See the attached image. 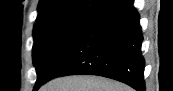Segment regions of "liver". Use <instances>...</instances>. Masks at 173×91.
<instances>
[{"mask_svg":"<svg viewBox=\"0 0 173 91\" xmlns=\"http://www.w3.org/2000/svg\"><path fill=\"white\" fill-rule=\"evenodd\" d=\"M40 91H133L129 86L101 76H65L46 83Z\"/></svg>","mask_w":173,"mask_h":91,"instance_id":"liver-1","label":"liver"}]
</instances>
